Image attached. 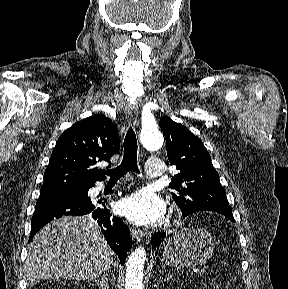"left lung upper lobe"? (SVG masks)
I'll use <instances>...</instances> for the list:
<instances>
[{
    "label": "left lung upper lobe",
    "instance_id": "5c2ea615",
    "mask_svg": "<svg viewBox=\"0 0 288 289\" xmlns=\"http://www.w3.org/2000/svg\"><path fill=\"white\" fill-rule=\"evenodd\" d=\"M159 125L166 138L169 162L179 170L169 187L175 191L172 198L182 214L213 211L234 222L225 190L202 141L169 117L161 118Z\"/></svg>",
    "mask_w": 288,
    "mask_h": 289
}]
</instances>
